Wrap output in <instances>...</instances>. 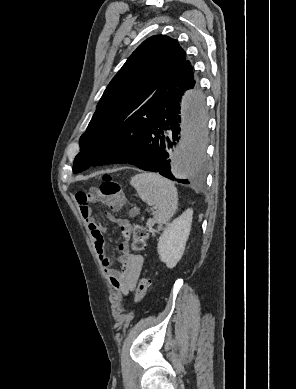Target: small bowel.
Returning a JSON list of instances; mask_svg holds the SVG:
<instances>
[{"mask_svg": "<svg viewBox=\"0 0 296 389\" xmlns=\"http://www.w3.org/2000/svg\"><path fill=\"white\" fill-rule=\"evenodd\" d=\"M80 213L85 220L91 235L94 240L95 248L99 256L101 265L111 283V285L124 295L132 292L137 284V281L141 275L144 259L139 254H134L129 248V238L131 235V224L127 219L117 218L112 213H108L107 217L110 221L119 225L123 241L119 244V257L118 262L121 265V269H115L107 255V244L104 238V232L106 226L97 222L92 214L91 204L101 201L98 193L92 191L91 193L80 192L76 195ZM122 202L117 206L111 207L113 211H117L121 208Z\"/></svg>", "mask_w": 296, "mask_h": 389, "instance_id": "obj_1", "label": "small bowel"}]
</instances>
